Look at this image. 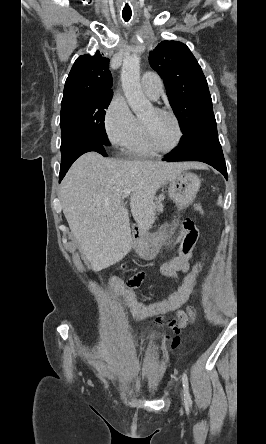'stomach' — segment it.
Listing matches in <instances>:
<instances>
[{"mask_svg": "<svg viewBox=\"0 0 266 444\" xmlns=\"http://www.w3.org/2000/svg\"><path fill=\"white\" fill-rule=\"evenodd\" d=\"M200 184L201 181L197 175L183 171L169 181L168 194L179 209H184L195 199ZM167 238L168 231L165 227L153 235L142 236V256L146 259L154 258Z\"/></svg>", "mask_w": 266, "mask_h": 444, "instance_id": "1", "label": "stomach"}]
</instances>
